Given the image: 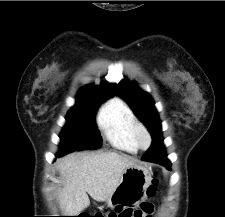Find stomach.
Segmentation results:
<instances>
[{
	"mask_svg": "<svg viewBox=\"0 0 225 217\" xmlns=\"http://www.w3.org/2000/svg\"><path fill=\"white\" fill-rule=\"evenodd\" d=\"M149 179V171L144 166L134 164L124 170L118 188L145 186Z\"/></svg>",
	"mask_w": 225,
	"mask_h": 217,
	"instance_id": "1",
	"label": "stomach"
}]
</instances>
